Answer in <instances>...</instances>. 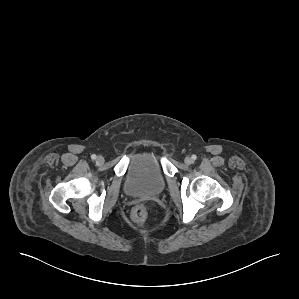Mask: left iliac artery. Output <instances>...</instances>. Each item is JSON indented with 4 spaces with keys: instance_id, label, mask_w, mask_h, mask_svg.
Here are the masks:
<instances>
[{
    "instance_id": "left-iliac-artery-1",
    "label": "left iliac artery",
    "mask_w": 299,
    "mask_h": 299,
    "mask_svg": "<svg viewBox=\"0 0 299 299\" xmlns=\"http://www.w3.org/2000/svg\"><path fill=\"white\" fill-rule=\"evenodd\" d=\"M193 160H196L197 159V156L196 155H192L191 157Z\"/></svg>"
}]
</instances>
